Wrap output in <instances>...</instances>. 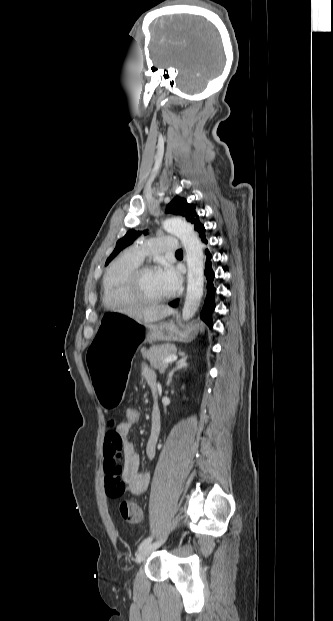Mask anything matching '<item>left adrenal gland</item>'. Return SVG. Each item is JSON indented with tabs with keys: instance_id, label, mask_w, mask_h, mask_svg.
<instances>
[{
	"instance_id": "left-adrenal-gland-1",
	"label": "left adrenal gland",
	"mask_w": 333,
	"mask_h": 621,
	"mask_svg": "<svg viewBox=\"0 0 333 621\" xmlns=\"http://www.w3.org/2000/svg\"><path fill=\"white\" fill-rule=\"evenodd\" d=\"M179 354H180L181 358L176 362V366L169 372L168 380H167V384H166L167 386L170 385V383L172 381V377H173L174 373L177 370L184 369V368H186L188 366V363H187L188 356H186L185 353L181 352V351H179Z\"/></svg>"
}]
</instances>
